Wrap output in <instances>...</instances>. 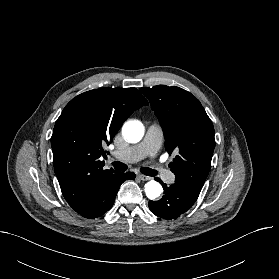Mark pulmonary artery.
I'll return each mask as SVG.
<instances>
[{
    "mask_svg": "<svg viewBox=\"0 0 279 279\" xmlns=\"http://www.w3.org/2000/svg\"><path fill=\"white\" fill-rule=\"evenodd\" d=\"M163 139V132L160 126L152 124L148 127L143 141L125 150L113 152V157L125 162H136L147 156H154L159 150ZM157 171L163 179L169 183L173 182L174 175L162 166L157 167Z\"/></svg>",
    "mask_w": 279,
    "mask_h": 279,
    "instance_id": "e3ab8cb5",
    "label": "pulmonary artery"
}]
</instances>
